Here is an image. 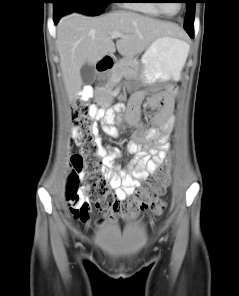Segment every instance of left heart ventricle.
Instances as JSON below:
<instances>
[{
	"label": "left heart ventricle",
	"instance_id": "b2bd125f",
	"mask_svg": "<svg viewBox=\"0 0 239 296\" xmlns=\"http://www.w3.org/2000/svg\"><path fill=\"white\" fill-rule=\"evenodd\" d=\"M164 9L170 13L173 14L178 10L179 7V3H174V2H170V1H164V3H162Z\"/></svg>",
	"mask_w": 239,
	"mask_h": 296
}]
</instances>
